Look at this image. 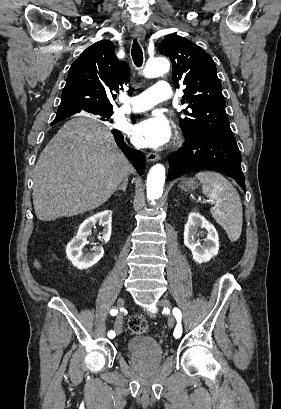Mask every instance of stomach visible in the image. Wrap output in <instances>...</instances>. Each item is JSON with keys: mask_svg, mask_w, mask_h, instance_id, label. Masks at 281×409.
Returning <instances> with one entry per match:
<instances>
[{"mask_svg": "<svg viewBox=\"0 0 281 409\" xmlns=\"http://www.w3.org/2000/svg\"><path fill=\"white\" fill-rule=\"evenodd\" d=\"M180 186L182 190H192V188H196L197 182L193 178H189V180H182Z\"/></svg>", "mask_w": 281, "mask_h": 409, "instance_id": "obj_1", "label": "stomach"}]
</instances>
